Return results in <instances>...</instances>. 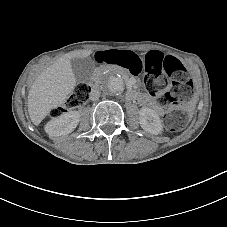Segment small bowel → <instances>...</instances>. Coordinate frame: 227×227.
I'll use <instances>...</instances> for the list:
<instances>
[{"label": "small bowel", "instance_id": "obj_1", "mask_svg": "<svg viewBox=\"0 0 227 227\" xmlns=\"http://www.w3.org/2000/svg\"><path fill=\"white\" fill-rule=\"evenodd\" d=\"M152 52H155L159 56H163V57L165 56L162 52H159V51H152ZM148 104L159 112L163 111L162 107L153 99H148Z\"/></svg>", "mask_w": 227, "mask_h": 227}]
</instances>
